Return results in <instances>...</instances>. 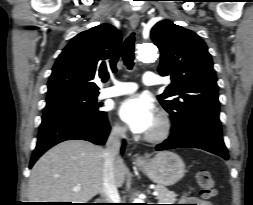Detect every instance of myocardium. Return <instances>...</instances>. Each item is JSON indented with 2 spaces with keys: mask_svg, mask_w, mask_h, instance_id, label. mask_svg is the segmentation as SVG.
Returning <instances> with one entry per match:
<instances>
[{
  "mask_svg": "<svg viewBox=\"0 0 253 205\" xmlns=\"http://www.w3.org/2000/svg\"><path fill=\"white\" fill-rule=\"evenodd\" d=\"M172 128L171 120L166 112H160L157 117V126L155 130L148 132L145 139L148 142H161L167 139Z\"/></svg>",
  "mask_w": 253,
  "mask_h": 205,
  "instance_id": "obj_1",
  "label": "myocardium"
}]
</instances>
